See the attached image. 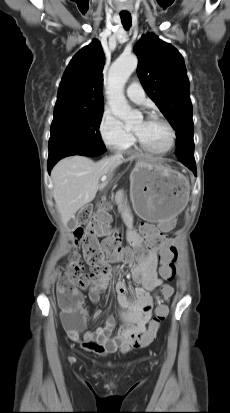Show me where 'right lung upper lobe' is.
Instances as JSON below:
<instances>
[{
  "label": "right lung upper lobe",
  "instance_id": "obj_1",
  "mask_svg": "<svg viewBox=\"0 0 230 413\" xmlns=\"http://www.w3.org/2000/svg\"><path fill=\"white\" fill-rule=\"evenodd\" d=\"M104 61V53L97 40L75 54L59 85L54 114L104 110Z\"/></svg>",
  "mask_w": 230,
  "mask_h": 413
}]
</instances>
